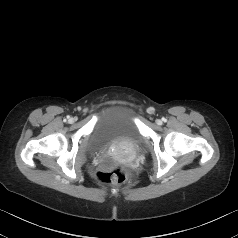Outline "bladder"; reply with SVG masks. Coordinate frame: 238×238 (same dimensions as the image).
<instances>
[{"instance_id":"31cf9c89","label":"bladder","mask_w":238,"mask_h":238,"mask_svg":"<svg viewBox=\"0 0 238 238\" xmlns=\"http://www.w3.org/2000/svg\"><path fill=\"white\" fill-rule=\"evenodd\" d=\"M141 141L135 107L127 102H113L100 110L89 136V149L106 154L112 147L136 146Z\"/></svg>"}]
</instances>
